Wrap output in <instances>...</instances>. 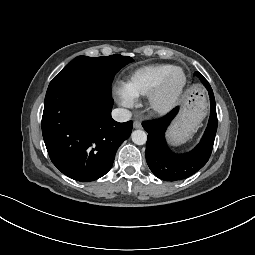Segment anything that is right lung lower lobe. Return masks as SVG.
<instances>
[{
  "mask_svg": "<svg viewBox=\"0 0 255 255\" xmlns=\"http://www.w3.org/2000/svg\"><path fill=\"white\" fill-rule=\"evenodd\" d=\"M111 93L83 83L48 87L42 134L53 164L66 176L94 181L112 167L119 146L131 134L132 121L111 118Z\"/></svg>",
  "mask_w": 255,
  "mask_h": 255,
  "instance_id": "1",
  "label": "right lung lower lobe"
}]
</instances>
